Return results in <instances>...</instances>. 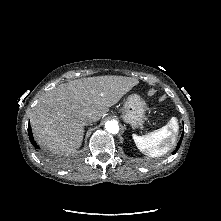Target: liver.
<instances>
[{
	"label": "liver",
	"instance_id": "liver-1",
	"mask_svg": "<svg viewBox=\"0 0 221 221\" xmlns=\"http://www.w3.org/2000/svg\"><path fill=\"white\" fill-rule=\"evenodd\" d=\"M138 83L133 77L106 75L58 85L43 95L31 113L35 140L55 154L75 152L83 140L82 120H100Z\"/></svg>",
	"mask_w": 221,
	"mask_h": 221
}]
</instances>
